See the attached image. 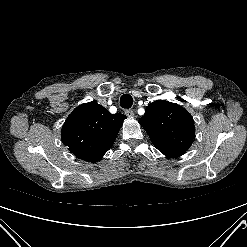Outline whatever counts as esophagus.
<instances>
[{"instance_id": "obj_1", "label": "esophagus", "mask_w": 247, "mask_h": 247, "mask_svg": "<svg viewBox=\"0 0 247 247\" xmlns=\"http://www.w3.org/2000/svg\"><path fill=\"white\" fill-rule=\"evenodd\" d=\"M125 114H126V116H128V117H133L134 116V111L133 110H126L125 111Z\"/></svg>"}]
</instances>
